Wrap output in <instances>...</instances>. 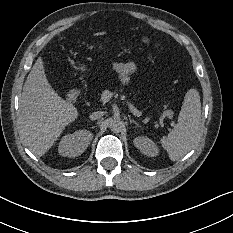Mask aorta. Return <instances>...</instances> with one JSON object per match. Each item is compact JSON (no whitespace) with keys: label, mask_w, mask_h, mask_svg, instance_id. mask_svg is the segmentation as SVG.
I'll use <instances>...</instances> for the list:
<instances>
[{"label":"aorta","mask_w":233,"mask_h":233,"mask_svg":"<svg viewBox=\"0 0 233 233\" xmlns=\"http://www.w3.org/2000/svg\"><path fill=\"white\" fill-rule=\"evenodd\" d=\"M120 127H121V124L119 122H117L116 120H113L111 122V130L113 132H119L120 130Z\"/></svg>","instance_id":"1"}]
</instances>
